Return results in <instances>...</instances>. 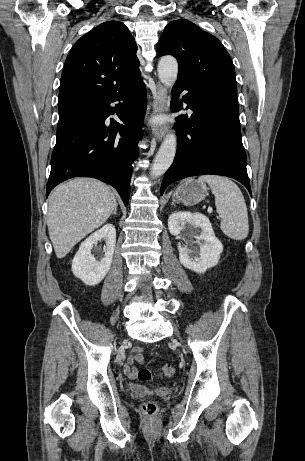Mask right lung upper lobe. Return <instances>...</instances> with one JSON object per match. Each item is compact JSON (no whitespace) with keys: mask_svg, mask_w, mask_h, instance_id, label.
<instances>
[{"mask_svg":"<svg viewBox=\"0 0 305 461\" xmlns=\"http://www.w3.org/2000/svg\"><path fill=\"white\" fill-rule=\"evenodd\" d=\"M137 45L119 21L104 22L70 50L59 91V106L111 96L141 82Z\"/></svg>","mask_w":305,"mask_h":461,"instance_id":"1","label":"right lung upper lobe"}]
</instances>
